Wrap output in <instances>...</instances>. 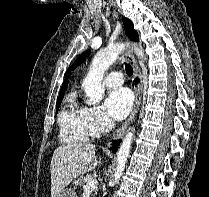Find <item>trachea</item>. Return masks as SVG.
Listing matches in <instances>:
<instances>
[{
	"instance_id": "trachea-1",
	"label": "trachea",
	"mask_w": 209,
	"mask_h": 197,
	"mask_svg": "<svg viewBox=\"0 0 209 197\" xmlns=\"http://www.w3.org/2000/svg\"><path fill=\"white\" fill-rule=\"evenodd\" d=\"M125 69L128 76L133 74V68L130 66V64L125 63Z\"/></svg>"
}]
</instances>
